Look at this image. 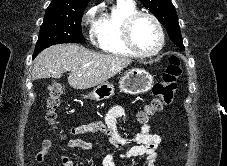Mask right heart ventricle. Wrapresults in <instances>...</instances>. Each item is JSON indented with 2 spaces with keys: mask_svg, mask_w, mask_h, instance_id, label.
<instances>
[{
  "mask_svg": "<svg viewBox=\"0 0 227 166\" xmlns=\"http://www.w3.org/2000/svg\"><path fill=\"white\" fill-rule=\"evenodd\" d=\"M137 11L131 0H117L105 13L101 14L93 27L97 48L112 55L134 57L135 54L123 41L122 26L125 19Z\"/></svg>",
  "mask_w": 227,
  "mask_h": 166,
  "instance_id": "e07e8e85",
  "label": "right heart ventricle"
}]
</instances>
